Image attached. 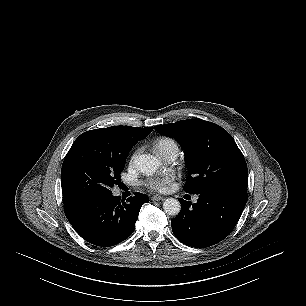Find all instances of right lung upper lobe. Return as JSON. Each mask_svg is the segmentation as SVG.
<instances>
[{"mask_svg": "<svg viewBox=\"0 0 306 306\" xmlns=\"http://www.w3.org/2000/svg\"><path fill=\"white\" fill-rule=\"evenodd\" d=\"M153 127H131V126H112L108 128L94 129L81 134L77 140L93 139L101 140L108 145L134 146L138 141L144 139L151 133ZM65 208L72 203L64 202Z\"/></svg>", "mask_w": 306, "mask_h": 306, "instance_id": "1", "label": "right lung upper lobe"}]
</instances>
